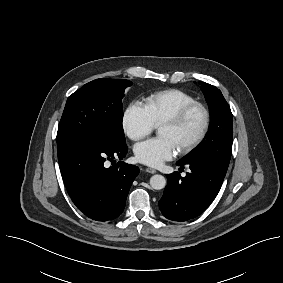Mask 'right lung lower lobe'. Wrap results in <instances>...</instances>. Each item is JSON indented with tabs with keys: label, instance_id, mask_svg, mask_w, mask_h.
Listing matches in <instances>:
<instances>
[{
	"label": "right lung lower lobe",
	"instance_id": "obj_1",
	"mask_svg": "<svg viewBox=\"0 0 283 283\" xmlns=\"http://www.w3.org/2000/svg\"><path fill=\"white\" fill-rule=\"evenodd\" d=\"M127 152L126 143L112 144L94 137L76 140L58 151L67 191L87 217L107 221L122 213L131 184L139 173L137 166L121 161ZM107 161L113 166L107 167Z\"/></svg>",
	"mask_w": 283,
	"mask_h": 283
}]
</instances>
